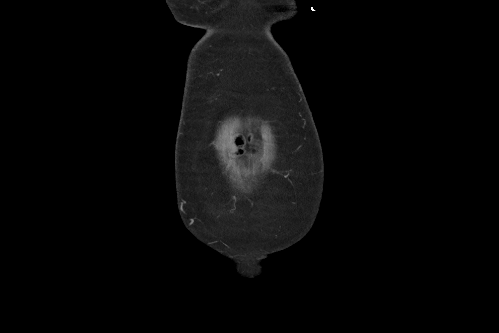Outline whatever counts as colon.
Here are the masks:
<instances>
[{"label":"colon","instance_id":"colon-1","mask_svg":"<svg viewBox=\"0 0 499 333\" xmlns=\"http://www.w3.org/2000/svg\"><path fill=\"white\" fill-rule=\"evenodd\" d=\"M242 144V141L241 140H238L237 141V145L240 146Z\"/></svg>","mask_w":499,"mask_h":333}]
</instances>
